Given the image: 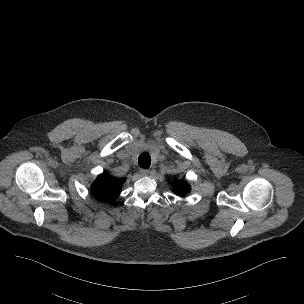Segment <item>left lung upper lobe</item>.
Listing matches in <instances>:
<instances>
[{"label": "left lung upper lobe", "instance_id": "5c2ea615", "mask_svg": "<svg viewBox=\"0 0 304 304\" xmlns=\"http://www.w3.org/2000/svg\"><path fill=\"white\" fill-rule=\"evenodd\" d=\"M173 191L175 194L183 196L190 191V186L182 181H175Z\"/></svg>", "mask_w": 304, "mask_h": 304}]
</instances>
